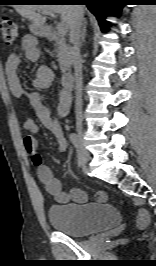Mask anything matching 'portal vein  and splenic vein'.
I'll return each instance as SVG.
<instances>
[{
    "label": "portal vein and splenic vein",
    "instance_id": "18ae733b",
    "mask_svg": "<svg viewBox=\"0 0 156 266\" xmlns=\"http://www.w3.org/2000/svg\"><path fill=\"white\" fill-rule=\"evenodd\" d=\"M43 13L44 14H49L52 17H55V15L52 14V13H49V12H46V11H43ZM57 30H58V33L61 34V35H65L66 32H67V28H66L65 24L62 23V22H60V23L57 24Z\"/></svg>",
    "mask_w": 156,
    "mask_h": 266
}]
</instances>
